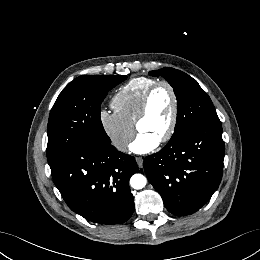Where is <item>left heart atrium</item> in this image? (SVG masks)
Masks as SVG:
<instances>
[{"label":"left heart atrium","mask_w":260,"mask_h":260,"mask_svg":"<svg viewBox=\"0 0 260 260\" xmlns=\"http://www.w3.org/2000/svg\"><path fill=\"white\" fill-rule=\"evenodd\" d=\"M159 144V141L144 133H139L130 146V150L134 153L143 154L154 150Z\"/></svg>","instance_id":"39dd6f15"}]
</instances>
